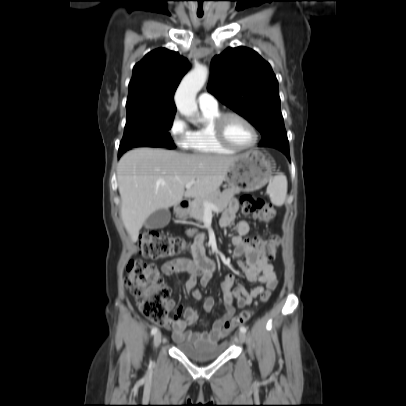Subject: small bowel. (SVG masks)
<instances>
[{
    "label": "small bowel",
    "mask_w": 406,
    "mask_h": 406,
    "mask_svg": "<svg viewBox=\"0 0 406 406\" xmlns=\"http://www.w3.org/2000/svg\"><path fill=\"white\" fill-rule=\"evenodd\" d=\"M238 211V203L231 200L228 207L223 212L219 225L222 228H228L233 225ZM233 234L230 238L234 246L233 255L239 259V269L245 274L248 281L260 283L267 289L273 290L277 285V278L274 266L269 259H266L251 245L244 241V236L249 234L250 225L246 220H241L233 226ZM204 235L197 236L192 247L193 258L179 257L163 264L162 272L166 276H172L180 273L186 274L184 282L185 289L197 300L203 299L202 294L195 289L197 278H200L202 285H207L215 270L212 259L206 256L203 248ZM235 278L233 274L225 275L221 283L222 298L225 305V313L212 323L209 330L203 333H197L188 330V326L193 325L199 318V312L196 308L186 305L179 306L173 316L169 318L164 327L173 332V338L176 342H184L196 346L215 344L228 334L224 329V324L235 313L236 308H242L250 305L264 290L263 286H256L247 289L239 284L233 288ZM168 307L173 308V300L167 301ZM215 301L211 297L204 298L203 310L211 313L214 310Z\"/></svg>",
    "instance_id": "small-bowel-1"
}]
</instances>
